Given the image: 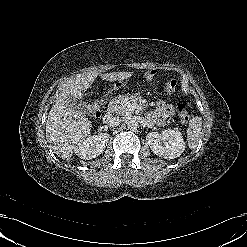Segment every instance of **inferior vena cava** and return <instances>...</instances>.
Here are the masks:
<instances>
[{
	"mask_svg": "<svg viewBox=\"0 0 247 247\" xmlns=\"http://www.w3.org/2000/svg\"><path fill=\"white\" fill-rule=\"evenodd\" d=\"M122 122V119L119 117H109L107 124L109 127H116Z\"/></svg>",
	"mask_w": 247,
	"mask_h": 247,
	"instance_id": "1",
	"label": "inferior vena cava"
}]
</instances>
